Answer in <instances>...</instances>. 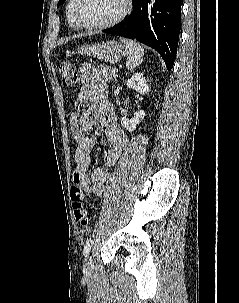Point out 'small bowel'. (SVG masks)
Instances as JSON below:
<instances>
[{
	"instance_id": "1",
	"label": "small bowel",
	"mask_w": 239,
	"mask_h": 303,
	"mask_svg": "<svg viewBox=\"0 0 239 303\" xmlns=\"http://www.w3.org/2000/svg\"><path fill=\"white\" fill-rule=\"evenodd\" d=\"M82 87L76 96V103L90 102V107L81 118L71 117L75 140L73 159L76 168L72 175L73 186L87 194L102 195L111 179L108 167L115 165L128 145V137L116 122L113 106L107 97V86L97 68L91 64L81 66ZM100 125L111 148L106 155V167L95 168L88 175L91 153L97 145L96 138L86 134V130Z\"/></svg>"
}]
</instances>
